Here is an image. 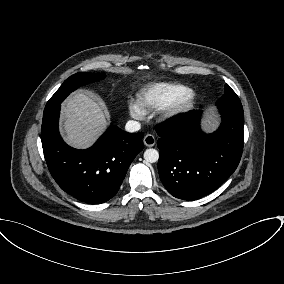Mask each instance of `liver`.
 <instances>
[{"label":"liver","instance_id":"1","mask_svg":"<svg viewBox=\"0 0 284 284\" xmlns=\"http://www.w3.org/2000/svg\"><path fill=\"white\" fill-rule=\"evenodd\" d=\"M65 141L75 148H87L108 126L100 105L83 93H75L62 104Z\"/></svg>","mask_w":284,"mask_h":284}]
</instances>
